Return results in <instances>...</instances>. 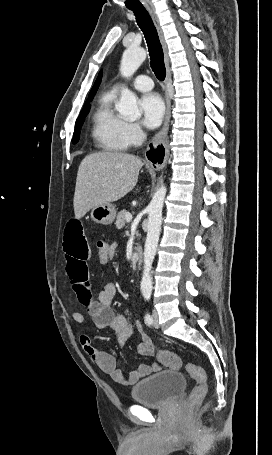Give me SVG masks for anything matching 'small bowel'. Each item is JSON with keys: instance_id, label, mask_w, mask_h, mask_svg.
<instances>
[{"instance_id": "obj_1", "label": "small bowel", "mask_w": 272, "mask_h": 455, "mask_svg": "<svg viewBox=\"0 0 272 455\" xmlns=\"http://www.w3.org/2000/svg\"><path fill=\"white\" fill-rule=\"evenodd\" d=\"M63 242L67 273L78 304L91 317L98 329L112 330L116 335L117 343L124 345L131 336L132 326L125 316L115 313L112 308V300L116 294L115 284L110 281L106 282L98 298L95 300L92 296L87 264L90 249L80 220L73 219L67 223ZM116 250V244H109L111 258L115 256ZM72 318L76 324H84L85 317L81 311H74ZM137 326L142 337V341L138 345V353L143 357H151L154 353L153 342L143 327L140 324ZM79 342L94 363L114 382L123 387L131 386L160 370V365L154 362L151 365L141 364L136 370L125 374L117 366V356L114 351L95 348L87 335H81Z\"/></svg>"}]
</instances>
